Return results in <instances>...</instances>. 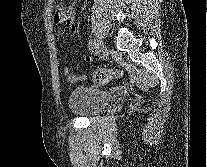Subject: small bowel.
<instances>
[{
	"label": "small bowel",
	"instance_id": "c3829d8e",
	"mask_svg": "<svg viewBox=\"0 0 207 167\" xmlns=\"http://www.w3.org/2000/svg\"><path fill=\"white\" fill-rule=\"evenodd\" d=\"M75 2L76 0H69L68 2L64 0H60L56 3V14L54 16V22L56 24L60 25H66L72 32L76 31V27L74 24V18L76 15V8H75ZM58 36L62 35V32H57ZM85 61H90L91 56H85ZM78 66H76L77 68ZM64 75L67 77V80L70 83H75L78 81H84L86 79V74L84 73H76L74 71H71V69L68 66H65L63 69Z\"/></svg>",
	"mask_w": 207,
	"mask_h": 167
}]
</instances>
